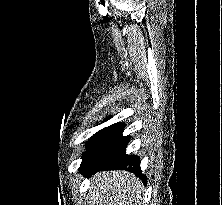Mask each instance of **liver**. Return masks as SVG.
I'll return each instance as SVG.
<instances>
[{
  "instance_id": "6515ba94",
  "label": "liver",
  "mask_w": 222,
  "mask_h": 205,
  "mask_svg": "<svg viewBox=\"0 0 222 205\" xmlns=\"http://www.w3.org/2000/svg\"><path fill=\"white\" fill-rule=\"evenodd\" d=\"M142 182L127 171L97 172L89 187L90 205H142Z\"/></svg>"
}]
</instances>
